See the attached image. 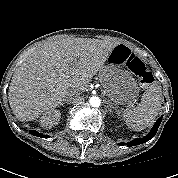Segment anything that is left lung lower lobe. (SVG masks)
I'll return each instance as SVG.
<instances>
[{
  "label": "left lung lower lobe",
  "instance_id": "0a47b994",
  "mask_svg": "<svg viewBox=\"0 0 178 178\" xmlns=\"http://www.w3.org/2000/svg\"><path fill=\"white\" fill-rule=\"evenodd\" d=\"M161 121H162V116L154 124V126L152 127V129H151V131L148 135H146L144 138H141V139H139V138L134 139L131 142L127 143V145L128 146H135V145L143 144V143L149 141L150 139H152L155 136V134H156V132H157L159 126H160Z\"/></svg>",
  "mask_w": 178,
  "mask_h": 178
}]
</instances>
